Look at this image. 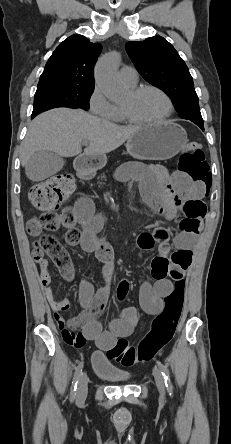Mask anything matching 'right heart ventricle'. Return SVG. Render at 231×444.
I'll list each match as a JSON object with an SVG mask.
<instances>
[{
  "label": "right heart ventricle",
  "mask_w": 231,
  "mask_h": 444,
  "mask_svg": "<svg viewBox=\"0 0 231 444\" xmlns=\"http://www.w3.org/2000/svg\"><path fill=\"white\" fill-rule=\"evenodd\" d=\"M130 88H134L135 85H128ZM113 121L116 122H123L126 120V117L123 113L122 107L121 106H116V112H115V116L112 119Z\"/></svg>",
  "instance_id": "right-heart-ventricle-1"
}]
</instances>
